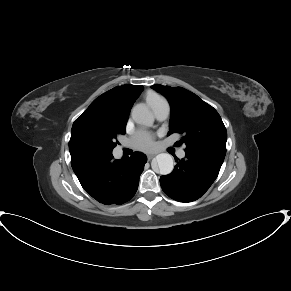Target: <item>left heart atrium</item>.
<instances>
[{
    "label": "left heart atrium",
    "instance_id": "1",
    "mask_svg": "<svg viewBox=\"0 0 291 291\" xmlns=\"http://www.w3.org/2000/svg\"><path fill=\"white\" fill-rule=\"evenodd\" d=\"M132 141L134 146L140 150H150L154 147L153 135L144 130L138 131Z\"/></svg>",
    "mask_w": 291,
    "mask_h": 291
}]
</instances>
